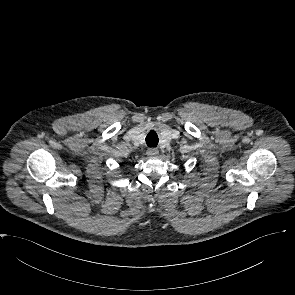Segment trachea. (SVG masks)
<instances>
[{
  "label": "trachea",
  "mask_w": 295,
  "mask_h": 295,
  "mask_svg": "<svg viewBox=\"0 0 295 295\" xmlns=\"http://www.w3.org/2000/svg\"><path fill=\"white\" fill-rule=\"evenodd\" d=\"M146 144L149 147H156L158 144V136L156 132L150 131L146 136Z\"/></svg>",
  "instance_id": "1"
}]
</instances>
